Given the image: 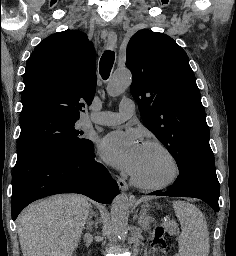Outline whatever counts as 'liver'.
Returning a JSON list of instances; mask_svg holds the SVG:
<instances>
[{
    "instance_id": "6515ba94",
    "label": "liver",
    "mask_w": 236,
    "mask_h": 256,
    "mask_svg": "<svg viewBox=\"0 0 236 256\" xmlns=\"http://www.w3.org/2000/svg\"><path fill=\"white\" fill-rule=\"evenodd\" d=\"M90 210L87 198L75 194L30 204L18 216L23 256H73Z\"/></svg>"
}]
</instances>
